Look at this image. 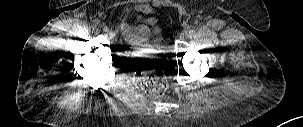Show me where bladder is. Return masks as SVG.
Masks as SVG:
<instances>
[{"instance_id":"obj_1","label":"bladder","mask_w":303,"mask_h":127,"mask_svg":"<svg viewBox=\"0 0 303 127\" xmlns=\"http://www.w3.org/2000/svg\"><path fill=\"white\" fill-rule=\"evenodd\" d=\"M157 25H155V24H152L151 25V28H152V30L154 31V32H157L158 31V34H157V36L158 37H160L161 36V34H162V32L161 31H159V30H157ZM135 31H136V33H137V35H139V36H141V35H143L142 34V26L141 27H136V29H132L131 31L129 30V29H127V33L128 32H131V33H133V34H135Z\"/></svg>"}]
</instances>
